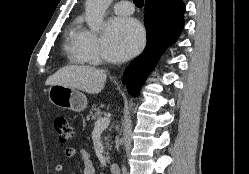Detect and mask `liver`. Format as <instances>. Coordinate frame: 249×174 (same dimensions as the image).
Here are the masks:
<instances>
[{
  "instance_id": "6515ba94",
  "label": "liver",
  "mask_w": 249,
  "mask_h": 174,
  "mask_svg": "<svg viewBox=\"0 0 249 174\" xmlns=\"http://www.w3.org/2000/svg\"><path fill=\"white\" fill-rule=\"evenodd\" d=\"M106 74L95 67L69 65L48 77L46 85H63L89 94H98L104 87Z\"/></svg>"
}]
</instances>
